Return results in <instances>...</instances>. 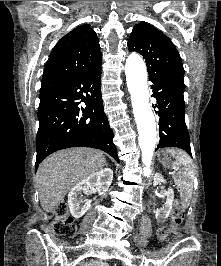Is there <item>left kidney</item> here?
<instances>
[{
  "label": "left kidney",
  "mask_w": 221,
  "mask_h": 266,
  "mask_svg": "<svg viewBox=\"0 0 221 266\" xmlns=\"http://www.w3.org/2000/svg\"><path fill=\"white\" fill-rule=\"evenodd\" d=\"M161 183H166V180L162 177L161 174L157 173L154 178V184L158 185ZM166 196V202L162 207L160 213L156 216L157 219H167L170 215L172 210V205L174 201V191L173 189L169 188L164 194Z\"/></svg>",
  "instance_id": "1"
}]
</instances>
